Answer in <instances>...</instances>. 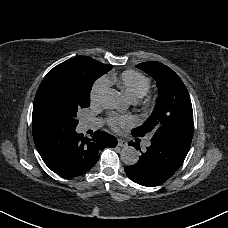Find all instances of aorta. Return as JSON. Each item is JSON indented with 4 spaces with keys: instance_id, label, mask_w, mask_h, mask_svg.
I'll use <instances>...</instances> for the list:
<instances>
[{
    "instance_id": "aorta-1",
    "label": "aorta",
    "mask_w": 228,
    "mask_h": 228,
    "mask_svg": "<svg viewBox=\"0 0 228 228\" xmlns=\"http://www.w3.org/2000/svg\"><path fill=\"white\" fill-rule=\"evenodd\" d=\"M102 102L107 109L126 108L125 97L115 89H108L103 95ZM121 160L126 165H134L139 159V152L132 146H125L120 153Z\"/></svg>"
}]
</instances>
